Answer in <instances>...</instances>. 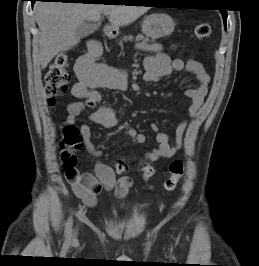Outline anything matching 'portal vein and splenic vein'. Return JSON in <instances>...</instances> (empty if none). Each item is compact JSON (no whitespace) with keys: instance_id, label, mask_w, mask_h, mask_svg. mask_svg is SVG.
<instances>
[{"instance_id":"portal-vein-and-splenic-vein-1","label":"portal vein and splenic vein","mask_w":259,"mask_h":266,"mask_svg":"<svg viewBox=\"0 0 259 266\" xmlns=\"http://www.w3.org/2000/svg\"><path fill=\"white\" fill-rule=\"evenodd\" d=\"M104 14H105V15H108V14H109V12H108V11H105V12H104Z\"/></svg>"}]
</instances>
